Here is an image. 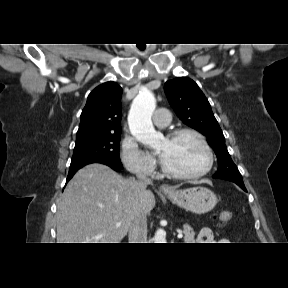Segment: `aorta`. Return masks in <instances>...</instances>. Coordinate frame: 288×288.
<instances>
[{
	"label": "aorta",
	"mask_w": 288,
	"mask_h": 288,
	"mask_svg": "<svg viewBox=\"0 0 288 288\" xmlns=\"http://www.w3.org/2000/svg\"><path fill=\"white\" fill-rule=\"evenodd\" d=\"M156 108V99L152 92L143 90L132 102L128 115L131 134L142 144L150 147L160 145L161 136L152 124L151 116ZM154 243H166V235L158 229L153 237Z\"/></svg>",
	"instance_id": "1"
}]
</instances>
